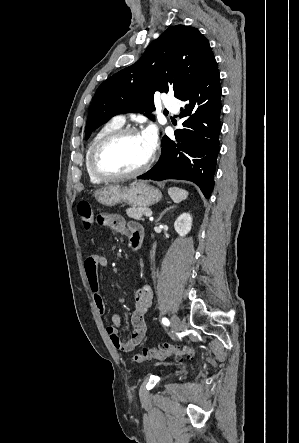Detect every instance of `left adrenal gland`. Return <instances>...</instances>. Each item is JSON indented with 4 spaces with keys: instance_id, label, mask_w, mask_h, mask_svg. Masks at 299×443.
I'll list each match as a JSON object with an SVG mask.
<instances>
[{
    "instance_id": "a2214340",
    "label": "left adrenal gland",
    "mask_w": 299,
    "mask_h": 443,
    "mask_svg": "<svg viewBox=\"0 0 299 443\" xmlns=\"http://www.w3.org/2000/svg\"><path fill=\"white\" fill-rule=\"evenodd\" d=\"M175 206H170L169 208H166L165 210H163L159 216V218L156 220V222L160 221L162 216L169 210L173 209Z\"/></svg>"
}]
</instances>
